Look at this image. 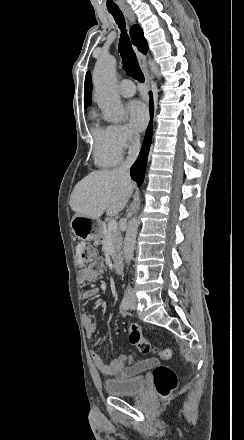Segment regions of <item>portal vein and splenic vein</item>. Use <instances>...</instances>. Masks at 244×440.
I'll return each instance as SVG.
<instances>
[{"mask_svg":"<svg viewBox=\"0 0 244 440\" xmlns=\"http://www.w3.org/2000/svg\"><path fill=\"white\" fill-rule=\"evenodd\" d=\"M107 228L108 232H114V230H117L118 226L116 220H110V222H108Z\"/></svg>","mask_w":244,"mask_h":440,"instance_id":"portal-vein-and-splenic-vein-1","label":"portal vein and splenic vein"}]
</instances>
